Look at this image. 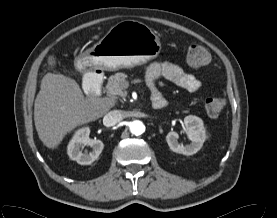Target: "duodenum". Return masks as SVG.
<instances>
[{"label": "duodenum", "instance_id": "obj_1", "mask_svg": "<svg viewBox=\"0 0 277 218\" xmlns=\"http://www.w3.org/2000/svg\"><path fill=\"white\" fill-rule=\"evenodd\" d=\"M103 85V73L101 70H93L89 72L84 80L85 92L89 97H98L101 93ZM165 106L162 98L154 100V108L161 109Z\"/></svg>", "mask_w": 277, "mask_h": 218}]
</instances>
